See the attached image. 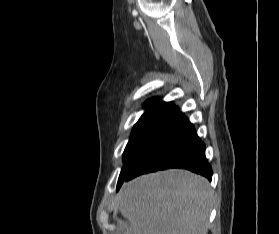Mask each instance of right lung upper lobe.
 <instances>
[{"instance_id":"1","label":"right lung upper lobe","mask_w":279,"mask_h":234,"mask_svg":"<svg viewBox=\"0 0 279 234\" xmlns=\"http://www.w3.org/2000/svg\"><path fill=\"white\" fill-rule=\"evenodd\" d=\"M145 106H148L147 110H154L160 108H174L175 105L171 103L157 101L156 98L149 99L145 102Z\"/></svg>"}]
</instances>
